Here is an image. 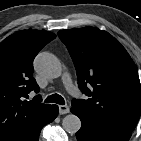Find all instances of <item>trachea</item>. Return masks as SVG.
Wrapping results in <instances>:
<instances>
[{
	"instance_id": "3493384b",
	"label": "trachea",
	"mask_w": 141,
	"mask_h": 141,
	"mask_svg": "<svg viewBox=\"0 0 141 141\" xmlns=\"http://www.w3.org/2000/svg\"><path fill=\"white\" fill-rule=\"evenodd\" d=\"M45 102H47V103H56V104H60V105L65 104L64 98L59 94H52V95L48 96L45 99Z\"/></svg>"
}]
</instances>
